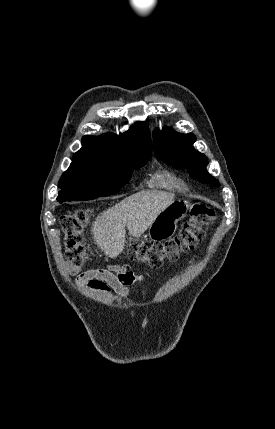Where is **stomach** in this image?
I'll list each match as a JSON object with an SVG mask.
<instances>
[{"instance_id": "stomach-1", "label": "stomach", "mask_w": 275, "mask_h": 429, "mask_svg": "<svg viewBox=\"0 0 275 429\" xmlns=\"http://www.w3.org/2000/svg\"><path fill=\"white\" fill-rule=\"evenodd\" d=\"M189 209L187 201H173L163 209L149 227V237L153 241L170 238L176 231L177 222L186 216Z\"/></svg>"}]
</instances>
